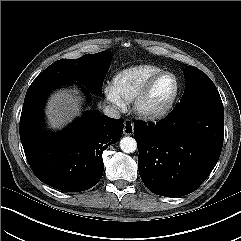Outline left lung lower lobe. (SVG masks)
<instances>
[{
  "mask_svg": "<svg viewBox=\"0 0 241 241\" xmlns=\"http://www.w3.org/2000/svg\"><path fill=\"white\" fill-rule=\"evenodd\" d=\"M138 170L153 193L179 197L194 192L215 167L224 138L222 101L180 103L154 125L134 124Z\"/></svg>",
  "mask_w": 241,
  "mask_h": 241,
  "instance_id": "1",
  "label": "left lung lower lobe"
}]
</instances>
